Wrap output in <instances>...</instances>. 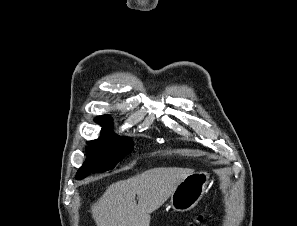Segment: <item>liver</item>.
I'll return each instance as SVG.
<instances>
[{
	"mask_svg": "<svg viewBox=\"0 0 297 226\" xmlns=\"http://www.w3.org/2000/svg\"><path fill=\"white\" fill-rule=\"evenodd\" d=\"M193 173L189 168L159 167L113 183L92 206V217L97 226H149L150 214Z\"/></svg>",
	"mask_w": 297,
	"mask_h": 226,
	"instance_id": "1",
	"label": "liver"
}]
</instances>
